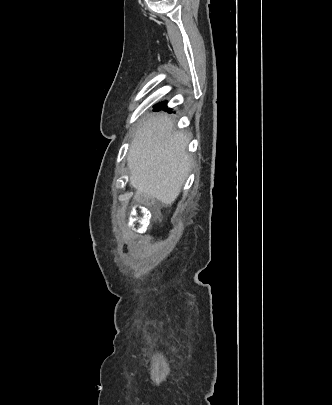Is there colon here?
I'll return each mask as SVG.
<instances>
[{
  "label": "colon",
  "instance_id": "obj_1",
  "mask_svg": "<svg viewBox=\"0 0 332 405\" xmlns=\"http://www.w3.org/2000/svg\"><path fill=\"white\" fill-rule=\"evenodd\" d=\"M139 202L140 204L133 208V226L139 231H144L148 229L153 220L151 213L147 209V206L152 203V200L146 195H141Z\"/></svg>",
  "mask_w": 332,
  "mask_h": 405
}]
</instances>
